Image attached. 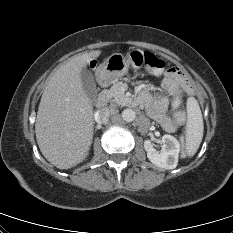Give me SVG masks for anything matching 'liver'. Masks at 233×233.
<instances>
[{"label": "liver", "instance_id": "liver-1", "mask_svg": "<svg viewBox=\"0 0 233 233\" xmlns=\"http://www.w3.org/2000/svg\"><path fill=\"white\" fill-rule=\"evenodd\" d=\"M101 55L84 52L69 59L51 77L39 104L35 133L43 156L69 169L88 155L93 140V107L83 90L81 71Z\"/></svg>", "mask_w": 233, "mask_h": 233}]
</instances>
